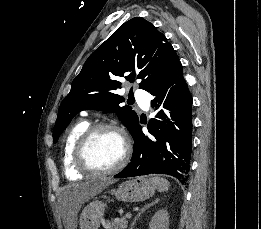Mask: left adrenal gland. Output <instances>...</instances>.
Returning a JSON list of instances; mask_svg holds the SVG:
<instances>
[{"label":"left adrenal gland","mask_w":261,"mask_h":229,"mask_svg":"<svg viewBox=\"0 0 261 229\" xmlns=\"http://www.w3.org/2000/svg\"><path fill=\"white\" fill-rule=\"evenodd\" d=\"M160 199H156V201H154V203H151V205H146V207H143V209H141L140 213H138L137 217H134L133 219V223H131L130 225V229H134V225L136 223V221H138L140 215H142V213H144V211H147V209H149V207H153V205H156V203H159Z\"/></svg>","instance_id":"obj_1"}]
</instances>
